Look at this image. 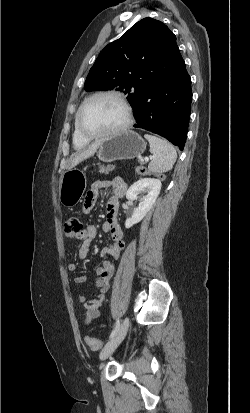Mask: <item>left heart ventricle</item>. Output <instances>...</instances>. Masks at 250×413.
<instances>
[{
  "label": "left heart ventricle",
  "mask_w": 250,
  "mask_h": 413,
  "mask_svg": "<svg viewBox=\"0 0 250 413\" xmlns=\"http://www.w3.org/2000/svg\"><path fill=\"white\" fill-rule=\"evenodd\" d=\"M126 118L123 105L114 97L93 99L85 108L82 124L89 133H104L121 126Z\"/></svg>",
  "instance_id": "left-heart-ventricle-1"
}]
</instances>
